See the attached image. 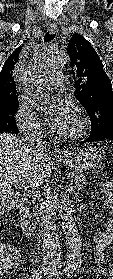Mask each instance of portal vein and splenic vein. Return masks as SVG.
<instances>
[{"instance_id": "18ae733b", "label": "portal vein and splenic vein", "mask_w": 113, "mask_h": 279, "mask_svg": "<svg viewBox=\"0 0 113 279\" xmlns=\"http://www.w3.org/2000/svg\"><path fill=\"white\" fill-rule=\"evenodd\" d=\"M15 183L24 189L32 190L33 192L35 190V187L30 186L29 184L27 185L23 178L20 177L15 178Z\"/></svg>"}]
</instances>
